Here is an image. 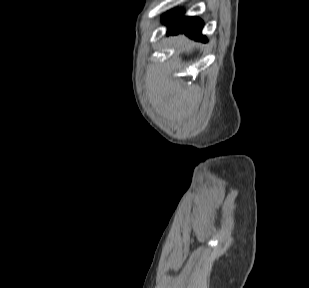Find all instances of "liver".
<instances>
[{
    "label": "liver",
    "instance_id": "liver-1",
    "mask_svg": "<svg viewBox=\"0 0 309 288\" xmlns=\"http://www.w3.org/2000/svg\"><path fill=\"white\" fill-rule=\"evenodd\" d=\"M186 46L189 47L188 52H191L190 43H187Z\"/></svg>",
    "mask_w": 309,
    "mask_h": 288
}]
</instances>
